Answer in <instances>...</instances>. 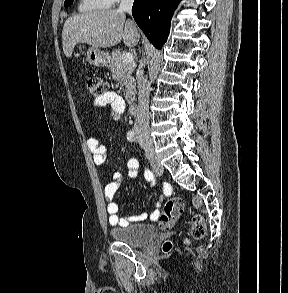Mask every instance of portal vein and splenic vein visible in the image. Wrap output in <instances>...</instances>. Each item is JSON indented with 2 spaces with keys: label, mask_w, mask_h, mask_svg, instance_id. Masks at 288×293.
<instances>
[{
  "label": "portal vein and splenic vein",
  "mask_w": 288,
  "mask_h": 293,
  "mask_svg": "<svg viewBox=\"0 0 288 293\" xmlns=\"http://www.w3.org/2000/svg\"><path fill=\"white\" fill-rule=\"evenodd\" d=\"M122 59L124 62L130 63V62H133L134 57L132 53L127 52L122 55Z\"/></svg>",
  "instance_id": "obj_1"
}]
</instances>
